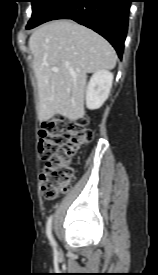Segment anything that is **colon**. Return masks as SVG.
I'll return each instance as SVG.
<instances>
[{"mask_svg": "<svg viewBox=\"0 0 158 275\" xmlns=\"http://www.w3.org/2000/svg\"><path fill=\"white\" fill-rule=\"evenodd\" d=\"M93 132L82 119L68 122L62 116L46 121L39 131L38 152L45 166L40 174V186L45 198L55 199L65 192L74 178L72 162Z\"/></svg>", "mask_w": 158, "mask_h": 275, "instance_id": "5ec220e1", "label": "colon"}]
</instances>
